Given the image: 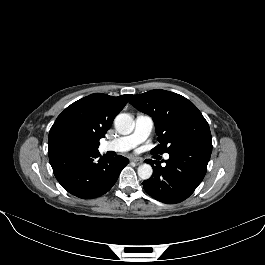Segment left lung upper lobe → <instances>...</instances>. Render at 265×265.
<instances>
[{"mask_svg":"<svg viewBox=\"0 0 265 265\" xmlns=\"http://www.w3.org/2000/svg\"><path fill=\"white\" fill-rule=\"evenodd\" d=\"M129 102L154 120L160 144L153 153H169L186 144L211 139L206 119L191 101L179 94L156 89L133 95Z\"/></svg>","mask_w":265,"mask_h":265,"instance_id":"5c2ea615","label":"left lung upper lobe"}]
</instances>
